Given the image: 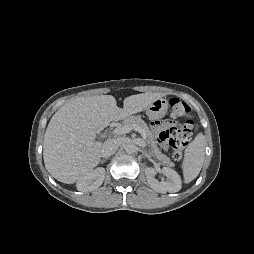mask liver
<instances>
[{
  "instance_id": "1",
  "label": "liver",
  "mask_w": 254,
  "mask_h": 254,
  "mask_svg": "<svg viewBox=\"0 0 254 254\" xmlns=\"http://www.w3.org/2000/svg\"><path fill=\"white\" fill-rule=\"evenodd\" d=\"M161 93L126 97L123 108L111 95L79 97L67 102L51 118L44 135L43 158L47 171L60 182L72 184L96 167L103 144L96 131L111 121L139 113Z\"/></svg>"
}]
</instances>
